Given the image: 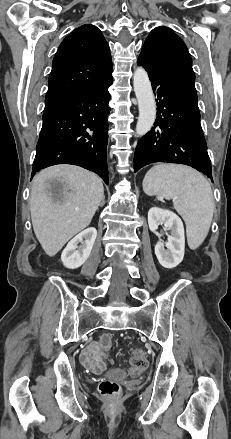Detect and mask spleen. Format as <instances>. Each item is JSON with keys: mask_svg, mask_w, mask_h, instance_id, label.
Returning <instances> with one entry per match:
<instances>
[{"mask_svg": "<svg viewBox=\"0 0 231 439\" xmlns=\"http://www.w3.org/2000/svg\"><path fill=\"white\" fill-rule=\"evenodd\" d=\"M147 195L173 199L174 208L186 223L188 245L198 248L205 240L213 218L211 186L198 171L183 165L159 164L143 180Z\"/></svg>", "mask_w": 231, "mask_h": 439, "instance_id": "1", "label": "spleen"}]
</instances>
